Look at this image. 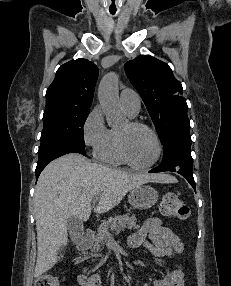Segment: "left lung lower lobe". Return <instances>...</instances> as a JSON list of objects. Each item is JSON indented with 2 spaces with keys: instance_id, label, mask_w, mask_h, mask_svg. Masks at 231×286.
I'll return each mask as SVG.
<instances>
[{
  "instance_id": "1",
  "label": "left lung lower lobe",
  "mask_w": 231,
  "mask_h": 286,
  "mask_svg": "<svg viewBox=\"0 0 231 286\" xmlns=\"http://www.w3.org/2000/svg\"><path fill=\"white\" fill-rule=\"evenodd\" d=\"M164 156L161 164L149 172H177L184 176L195 190L192 172L191 138L189 131L171 134L163 143Z\"/></svg>"
}]
</instances>
